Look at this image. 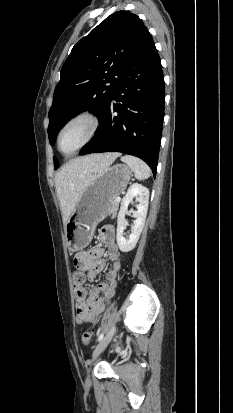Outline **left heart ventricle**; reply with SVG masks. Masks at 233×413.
<instances>
[{
  "label": "left heart ventricle",
  "instance_id": "b2bd125f",
  "mask_svg": "<svg viewBox=\"0 0 233 413\" xmlns=\"http://www.w3.org/2000/svg\"><path fill=\"white\" fill-rule=\"evenodd\" d=\"M90 125L85 120L71 124L62 134L60 147L63 152H70L79 146L87 137Z\"/></svg>",
  "mask_w": 233,
  "mask_h": 413
}]
</instances>
